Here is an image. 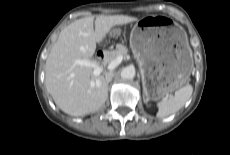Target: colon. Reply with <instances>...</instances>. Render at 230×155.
I'll return each instance as SVG.
<instances>
[{"label": "colon", "mask_w": 230, "mask_h": 155, "mask_svg": "<svg viewBox=\"0 0 230 155\" xmlns=\"http://www.w3.org/2000/svg\"><path fill=\"white\" fill-rule=\"evenodd\" d=\"M124 32V27L120 24H117L113 27V30L109 32V35L103 33L99 36V43L103 46H106L110 43V41L116 42L120 39Z\"/></svg>", "instance_id": "5ec220e1"}]
</instances>
